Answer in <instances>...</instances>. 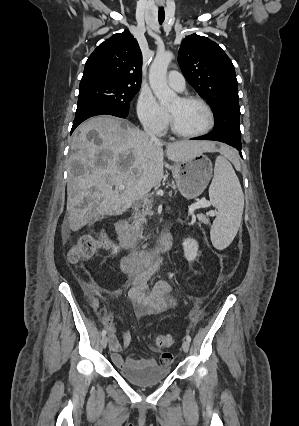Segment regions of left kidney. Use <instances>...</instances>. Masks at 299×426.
<instances>
[{
  "label": "left kidney",
  "instance_id": "5707ae66",
  "mask_svg": "<svg viewBox=\"0 0 299 426\" xmlns=\"http://www.w3.org/2000/svg\"><path fill=\"white\" fill-rule=\"evenodd\" d=\"M183 250L184 256L189 262L194 261L195 258L199 255L198 243L192 238L184 239Z\"/></svg>",
  "mask_w": 299,
  "mask_h": 426
}]
</instances>
